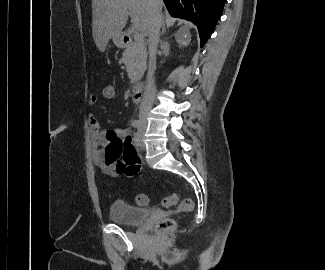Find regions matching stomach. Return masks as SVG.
I'll return each instance as SVG.
<instances>
[{"mask_svg": "<svg viewBox=\"0 0 325 270\" xmlns=\"http://www.w3.org/2000/svg\"><path fill=\"white\" fill-rule=\"evenodd\" d=\"M113 41L117 47H123L124 42H123V36L122 34H117L113 37Z\"/></svg>", "mask_w": 325, "mask_h": 270, "instance_id": "obj_1", "label": "stomach"}]
</instances>
